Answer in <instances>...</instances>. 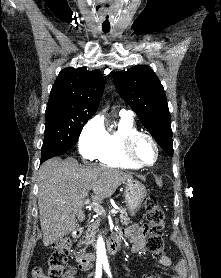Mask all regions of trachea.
Wrapping results in <instances>:
<instances>
[{
    "mask_svg": "<svg viewBox=\"0 0 221 278\" xmlns=\"http://www.w3.org/2000/svg\"><path fill=\"white\" fill-rule=\"evenodd\" d=\"M103 32H104V33H108L109 31H108V30H103Z\"/></svg>",
    "mask_w": 221,
    "mask_h": 278,
    "instance_id": "trachea-1",
    "label": "trachea"
}]
</instances>
